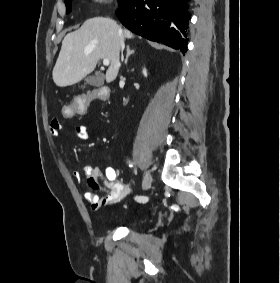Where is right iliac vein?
Here are the masks:
<instances>
[{"label":"right iliac vein","instance_id":"obj_1","mask_svg":"<svg viewBox=\"0 0 280 283\" xmlns=\"http://www.w3.org/2000/svg\"><path fill=\"white\" fill-rule=\"evenodd\" d=\"M151 181H152V178H151V175L150 173L147 171L144 175V180H143V189L147 190L150 188L151 186Z\"/></svg>","mask_w":280,"mask_h":283}]
</instances>
